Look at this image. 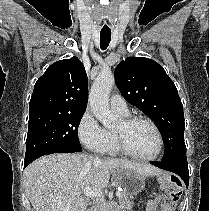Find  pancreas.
<instances>
[{
  "mask_svg": "<svg viewBox=\"0 0 209 211\" xmlns=\"http://www.w3.org/2000/svg\"><path fill=\"white\" fill-rule=\"evenodd\" d=\"M119 203L121 205L120 211H132L133 204L128 198V195L125 192H121V197H119ZM91 211H108V206L103 197H100L95 205L92 207Z\"/></svg>",
  "mask_w": 209,
  "mask_h": 211,
  "instance_id": "cf45deb5",
  "label": "pancreas"
}]
</instances>
